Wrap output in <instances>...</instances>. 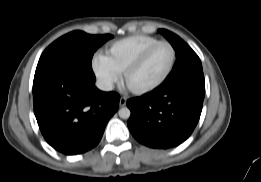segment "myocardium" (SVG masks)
Masks as SVG:
<instances>
[{
    "label": "myocardium",
    "mask_w": 261,
    "mask_h": 182,
    "mask_svg": "<svg viewBox=\"0 0 261 182\" xmlns=\"http://www.w3.org/2000/svg\"><path fill=\"white\" fill-rule=\"evenodd\" d=\"M160 46H168L171 51H172V58H171V62L166 70V72L163 74V76L156 81L155 83L143 87V88H131L128 86V79L130 77V75L132 73H134L136 70H138L144 63L145 61L148 59V57ZM176 59H177V52L175 47L167 42V41H160L156 44H154L153 46L149 47L148 49H146L137 59H135L123 72V83L125 84V86L134 94L137 95H143V94H147L149 92H152L156 89H158L160 86H162L167 79L169 78V76L171 75L175 63H176Z\"/></svg>",
    "instance_id": "f54148a6"
}]
</instances>
